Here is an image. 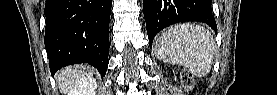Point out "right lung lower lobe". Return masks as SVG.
<instances>
[{"label": "right lung lower lobe", "mask_w": 277, "mask_h": 95, "mask_svg": "<svg viewBox=\"0 0 277 95\" xmlns=\"http://www.w3.org/2000/svg\"><path fill=\"white\" fill-rule=\"evenodd\" d=\"M111 4V0H46L45 47L52 75L78 63H88L105 75Z\"/></svg>", "instance_id": "right-lung-lower-lobe-1"}]
</instances>
